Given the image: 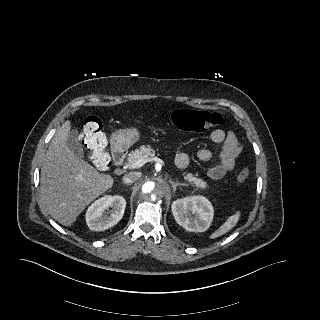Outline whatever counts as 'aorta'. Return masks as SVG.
Here are the masks:
<instances>
[{
    "mask_svg": "<svg viewBox=\"0 0 320 320\" xmlns=\"http://www.w3.org/2000/svg\"><path fill=\"white\" fill-rule=\"evenodd\" d=\"M168 192V184L160 177L151 178L141 185V194L145 201H158Z\"/></svg>",
    "mask_w": 320,
    "mask_h": 320,
    "instance_id": "1",
    "label": "aorta"
}]
</instances>
